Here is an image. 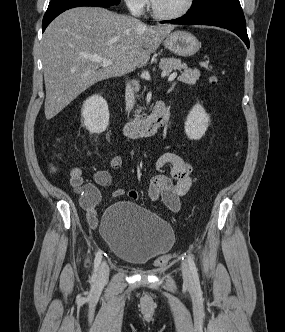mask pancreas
I'll use <instances>...</instances> for the list:
<instances>
[{"label": "pancreas", "instance_id": "obj_1", "mask_svg": "<svg viewBox=\"0 0 285 332\" xmlns=\"http://www.w3.org/2000/svg\"><path fill=\"white\" fill-rule=\"evenodd\" d=\"M160 69L164 71L166 74H169L173 70H184L181 75L178 77V81L183 83L194 85L197 80H199L200 72L198 70L188 69L184 64L181 63L179 59L168 58V59H161ZM136 118H139V110L137 111Z\"/></svg>", "mask_w": 285, "mask_h": 332}]
</instances>
